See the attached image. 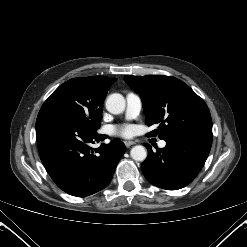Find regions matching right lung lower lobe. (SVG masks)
Masks as SVG:
<instances>
[{
	"label": "right lung lower lobe",
	"mask_w": 247,
	"mask_h": 247,
	"mask_svg": "<svg viewBox=\"0 0 247 247\" xmlns=\"http://www.w3.org/2000/svg\"><path fill=\"white\" fill-rule=\"evenodd\" d=\"M67 112L45 108L36 120V139L41 161L55 184L73 196H88L109 185L125 152L119 140L102 144L105 135Z\"/></svg>",
	"instance_id": "right-lung-lower-lobe-1"
}]
</instances>
